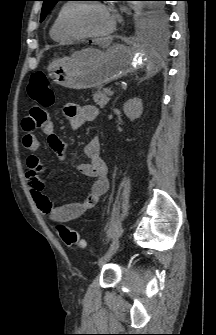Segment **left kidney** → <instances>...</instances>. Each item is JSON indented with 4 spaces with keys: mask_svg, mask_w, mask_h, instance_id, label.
Instances as JSON below:
<instances>
[{
    "mask_svg": "<svg viewBox=\"0 0 216 335\" xmlns=\"http://www.w3.org/2000/svg\"><path fill=\"white\" fill-rule=\"evenodd\" d=\"M125 115L131 120L139 118L143 111L142 100L140 98L129 99L123 105Z\"/></svg>",
    "mask_w": 216,
    "mask_h": 335,
    "instance_id": "left-kidney-1",
    "label": "left kidney"
}]
</instances>
